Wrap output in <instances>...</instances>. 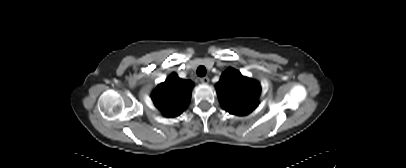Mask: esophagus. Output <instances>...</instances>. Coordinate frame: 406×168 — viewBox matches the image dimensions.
<instances>
[{"mask_svg": "<svg viewBox=\"0 0 406 168\" xmlns=\"http://www.w3.org/2000/svg\"><path fill=\"white\" fill-rule=\"evenodd\" d=\"M200 81H201L203 84H208L210 80H209L208 77H202V78L200 79Z\"/></svg>", "mask_w": 406, "mask_h": 168, "instance_id": "obj_1", "label": "esophagus"}]
</instances>
